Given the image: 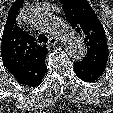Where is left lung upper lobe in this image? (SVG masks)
I'll list each match as a JSON object with an SVG mask.
<instances>
[{"label":"left lung upper lobe","instance_id":"1","mask_svg":"<svg viewBox=\"0 0 113 113\" xmlns=\"http://www.w3.org/2000/svg\"><path fill=\"white\" fill-rule=\"evenodd\" d=\"M63 11L71 26L87 45V54L81 61L101 69L106 68L108 45L104 28L87 0H60Z\"/></svg>","mask_w":113,"mask_h":113}]
</instances>
